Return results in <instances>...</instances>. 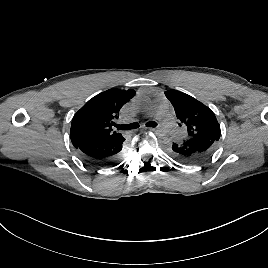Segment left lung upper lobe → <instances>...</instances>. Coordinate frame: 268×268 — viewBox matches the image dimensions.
Instances as JSON below:
<instances>
[{
    "label": "left lung upper lobe",
    "mask_w": 268,
    "mask_h": 268,
    "mask_svg": "<svg viewBox=\"0 0 268 268\" xmlns=\"http://www.w3.org/2000/svg\"><path fill=\"white\" fill-rule=\"evenodd\" d=\"M177 118L187 127V137L220 138V125L212 110L188 94L177 90L165 92Z\"/></svg>",
    "instance_id": "1"
}]
</instances>
